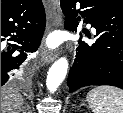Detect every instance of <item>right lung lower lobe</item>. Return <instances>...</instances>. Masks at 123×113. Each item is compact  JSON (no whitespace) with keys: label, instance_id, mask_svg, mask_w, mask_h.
<instances>
[{"label":"right lung lower lobe","instance_id":"98d812e1","mask_svg":"<svg viewBox=\"0 0 123 113\" xmlns=\"http://www.w3.org/2000/svg\"><path fill=\"white\" fill-rule=\"evenodd\" d=\"M45 11L41 0H18L1 10V42L5 37L16 44L1 45V86L9 72L19 69L28 52L35 51L45 30ZM16 51L20 53L17 54Z\"/></svg>","mask_w":123,"mask_h":113}]
</instances>
